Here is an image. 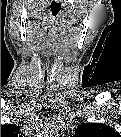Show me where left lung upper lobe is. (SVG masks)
I'll use <instances>...</instances> for the list:
<instances>
[{
	"mask_svg": "<svg viewBox=\"0 0 121 137\" xmlns=\"http://www.w3.org/2000/svg\"><path fill=\"white\" fill-rule=\"evenodd\" d=\"M77 131H78V135H83V134L93 135V134H99V133L105 135V132L108 134V132H110L111 130L109 129V127H107L104 124L90 123V124H83V125L79 126ZM113 133H114V131H113Z\"/></svg>",
	"mask_w": 121,
	"mask_h": 137,
	"instance_id": "left-lung-upper-lobe-1",
	"label": "left lung upper lobe"
}]
</instances>
